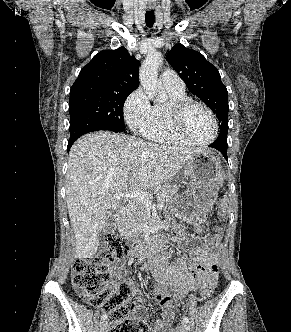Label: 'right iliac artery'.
<instances>
[{
  "label": "right iliac artery",
  "mask_w": 291,
  "mask_h": 332,
  "mask_svg": "<svg viewBox=\"0 0 291 332\" xmlns=\"http://www.w3.org/2000/svg\"><path fill=\"white\" fill-rule=\"evenodd\" d=\"M142 259H140V261H141ZM107 318V315L106 314H103L102 316H101V319H103V320H105Z\"/></svg>",
  "instance_id": "right-iliac-artery-1"
}]
</instances>
